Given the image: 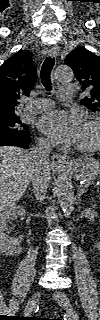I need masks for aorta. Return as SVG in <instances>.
<instances>
[{
    "mask_svg": "<svg viewBox=\"0 0 100 320\" xmlns=\"http://www.w3.org/2000/svg\"><path fill=\"white\" fill-rule=\"evenodd\" d=\"M55 78L58 82H68L73 78V71L69 66L57 68ZM56 196L65 215H69L74 209V192L71 182L64 176H60L56 184Z\"/></svg>",
    "mask_w": 100,
    "mask_h": 320,
    "instance_id": "aorta-1",
    "label": "aorta"
}]
</instances>
